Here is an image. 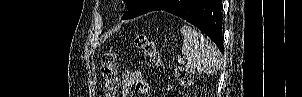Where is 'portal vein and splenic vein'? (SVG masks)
Here are the masks:
<instances>
[{"label": "portal vein and splenic vein", "instance_id": "18ae733b", "mask_svg": "<svg viewBox=\"0 0 302 97\" xmlns=\"http://www.w3.org/2000/svg\"><path fill=\"white\" fill-rule=\"evenodd\" d=\"M178 62H179L180 64H184V63H185L183 59H179Z\"/></svg>", "mask_w": 302, "mask_h": 97}]
</instances>
